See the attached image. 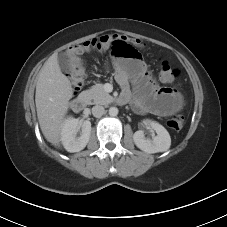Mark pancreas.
<instances>
[{"instance_id": "cf45deb5", "label": "pancreas", "mask_w": 227, "mask_h": 227, "mask_svg": "<svg viewBox=\"0 0 227 227\" xmlns=\"http://www.w3.org/2000/svg\"><path fill=\"white\" fill-rule=\"evenodd\" d=\"M86 93L89 99L93 101H90L89 103L107 105L114 101V98L107 92H105L103 84H96L92 86L89 90L86 91Z\"/></svg>"}]
</instances>
